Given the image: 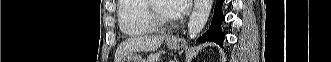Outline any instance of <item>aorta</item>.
Masks as SVG:
<instances>
[{
    "label": "aorta",
    "instance_id": "1",
    "mask_svg": "<svg viewBox=\"0 0 331 62\" xmlns=\"http://www.w3.org/2000/svg\"><path fill=\"white\" fill-rule=\"evenodd\" d=\"M213 0H196L188 23L187 36L195 38L204 28L211 12Z\"/></svg>",
    "mask_w": 331,
    "mask_h": 62
}]
</instances>
